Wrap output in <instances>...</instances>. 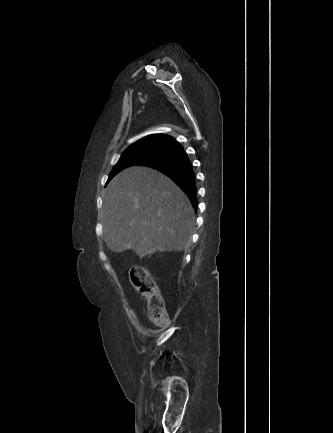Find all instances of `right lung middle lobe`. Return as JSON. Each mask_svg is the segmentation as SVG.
Wrapping results in <instances>:
<instances>
[{
    "instance_id": "dd1d6c3e",
    "label": "right lung middle lobe",
    "mask_w": 333,
    "mask_h": 433,
    "mask_svg": "<svg viewBox=\"0 0 333 433\" xmlns=\"http://www.w3.org/2000/svg\"><path fill=\"white\" fill-rule=\"evenodd\" d=\"M172 150L158 141H147L128 147L111 171L107 183L121 170L142 165L168 155Z\"/></svg>"
}]
</instances>
